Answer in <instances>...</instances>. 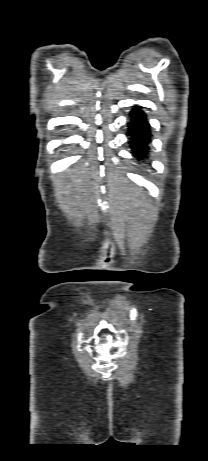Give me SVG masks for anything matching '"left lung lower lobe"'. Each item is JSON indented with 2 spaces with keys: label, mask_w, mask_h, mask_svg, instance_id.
Instances as JSON below:
<instances>
[{
  "label": "left lung lower lobe",
  "mask_w": 208,
  "mask_h": 461,
  "mask_svg": "<svg viewBox=\"0 0 208 461\" xmlns=\"http://www.w3.org/2000/svg\"><path fill=\"white\" fill-rule=\"evenodd\" d=\"M127 136H131V149L136 157H145L151 134L150 125L146 121V115L142 110L134 108L131 111V122L128 125Z\"/></svg>",
  "instance_id": "left-lung-lower-lobe-1"
}]
</instances>
